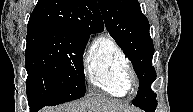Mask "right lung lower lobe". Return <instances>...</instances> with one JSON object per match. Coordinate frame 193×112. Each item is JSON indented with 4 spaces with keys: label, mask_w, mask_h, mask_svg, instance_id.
Here are the masks:
<instances>
[{
    "label": "right lung lower lobe",
    "mask_w": 193,
    "mask_h": 112,
    "mask_svg": "<svg viewBox=\"0 0 193 112\" xmlns=\"http://www.w3.org/2000/svg\"><path fill=\"white\" fill-rule=\"evenodd\" d=\"M39 109H41V108L30 106V111H31V112H36V111H38Z\"/></svg>",
    "instance_id": "98d812e1"
}]
</instances>
